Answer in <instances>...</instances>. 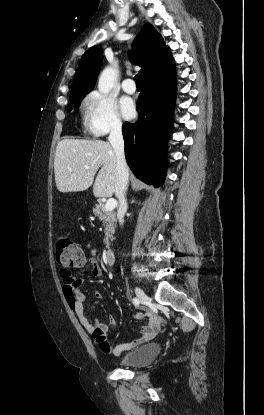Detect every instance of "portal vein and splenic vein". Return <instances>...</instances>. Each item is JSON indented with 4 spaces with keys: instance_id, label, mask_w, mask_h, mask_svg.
I'll return each mask as SVG.
<instances>
[{
    "instance_id": "18ae733b",
    "label": "portal vein and splenic vein",
    "mask_w": 264,
    "mask_h": 415,
    "mask_svg": "<svg viewBox=\"0 0 264 415\" xmlns=\"http://www.w3.org/2000/svg\"><path fill=\"white\" fill-rule=\"evenodd\" d=\"M86 168H88V167H86ZM116 206H117V202H116V200H115V199H109V200L106 202V204H105V206H104V209H105L106 211H112V210H114V209L116 208Z\"/></svg>"
}]
</instances>
